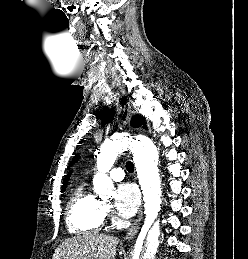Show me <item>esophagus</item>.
<instances>
[{
	"mask_svg": "<svg viewBox=\"0 0 248 259\" xmlns=\"http://www.w3.org/2000/svg\"><path fill=\"white\" fill-rule=\"evenodd\" d=\"M127 120L130 119V113L127 114ZM142 215H143V209L142 207L139 210V213L136 217V219L134 220L132 226L129 228L128 232L126 233L125 236V240L130 241L133 240L134 237L136 236L139 228H140V224H141V220H142Z\"/></svg>",
	"mask_w": 248,
	"mask_h": 259,
	"instance_id": "esophagus-1",
	"label": "esophagus"
}]
</instances>
